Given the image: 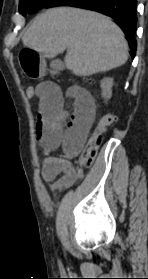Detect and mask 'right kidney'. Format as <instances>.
<instances>
[{
	"instance_id": "obj_1",
	"label": "right kidney",
	"mask_w": 148,
	"mask_h": 279,
	"mask_svg": "<svg viewBox=\"0 0 148 279\" xmlns=\"http://www.w3.org/2000/svg\"><path fill=\"white\" fill-rule=\"evenodd\" d=\"M101 89H102V97L105 100H108L112 96V86H113V79L112 78H104L101 81Z\"/></svg>"
}]
</instances>
